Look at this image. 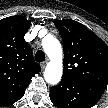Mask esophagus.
I'll return each mask as SVG.
<instances>
[{
	"instance_id": "1",
	"label": "esophagus",
	"mask_w": 108,
	"mask_h": 108,
	"mask_svg": "<svg viewBox=\"0 0 108 108\" xmlns=\"http://www.w3.org/2000/svg\"><path fill=\"white\" fill-rule=\"evenodd\" d=\"M46 65H47V61L42 62L41 63V68L44 69L46 67Z\"/></svg>"
}]
</instances>
